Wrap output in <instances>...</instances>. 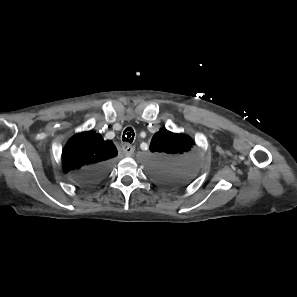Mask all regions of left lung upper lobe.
<instances>
[{
	"label": "left lung upper lobe",
	"mask_w": 297,
	"mask_h": 297,
	"mask_svg": "<svg viewBox=\"0 0 297 297\" xmlns=\"http://www.w3.org/2000/svg\"><path fill=\"white\" fill-rule=\"evenodd\" d=\"M193 145L187 135L158 131L150 143L149 174L166 186L189 182L198 171V156L192 150Z\"/></svg>",
	"instance_id": "left-lung-upper-lobe-1"
}]
</instances>
